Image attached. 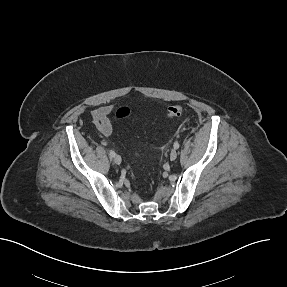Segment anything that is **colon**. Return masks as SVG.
<instances>
[{
    "mask_svg": "<svg viewBox=\"0 0 287 287\" xmlns=\"http://www.w3.org/2000/svg\"><path fill=\"white\" fill-rule=\"evenodd\" d=\"M186 111L184 105L176 104L168 107L166 111V116L169 119H174L182 116ZM132 114L131 109L129 107L123 106L116 110L115 117L117 119H125L128 118Z\"/></svg>",
    "mask_w": 287,
    "mask_h": 287,
    "instance_id": "colon-1",
    "label": "colon"
}]
</instances>
